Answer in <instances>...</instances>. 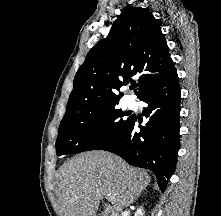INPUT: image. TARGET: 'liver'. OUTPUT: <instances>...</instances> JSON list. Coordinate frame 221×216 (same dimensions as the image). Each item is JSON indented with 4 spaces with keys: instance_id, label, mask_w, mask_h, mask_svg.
Returning <instances> with one entry per match:
<instances>
[{
    "instance_id": "liver-1",
    "label": "liver",
    "mask_w": 221,
    "mask_h": 216,
    "mask_svg": "<svg viewBox=\"0 0 221 216\" xmlns=\"http://www.w3.org/2000/svg\"><path fill=\"white\" fill-rule=\"evenodd\" d=\"M150 176L105 151L82 153L65 162L57 175L62 216H96L106 197L102 216H119L150 184ZM110 195V197H108Z\"/></svg>"
}]
</instances>
